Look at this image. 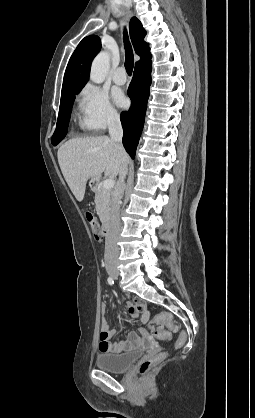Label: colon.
I'll return each mask as SVG.
<instances>
[{
  "instance_id": "colon-1",
  "label": "colon",
  "mask_w": 255,
  "mask_h": 418,
  "mask_svg": "<svg viewBox=\"0 0 255 418\" xmlns=\"http://www.w3.org/2000/svg\"><path fill=\"white\" fill-rule=\"evenodd\" d=\"M85 218L88 225L92 229L94 237L99 240L101 234L95 216L91 212L87 211L85 213ZM149 328L152 334L160 339H168L172 332H179L178 339L175 343V348H180L185 343L187 338L186 333L184 331H179L174 318L170 313L167 312H162L154 316L149 321ZM165 357L166 353H160L154 357L142 361L139 365V372L141 374L148 372L155 364L163 360Z\"/></svg>"
}]
</instances>
